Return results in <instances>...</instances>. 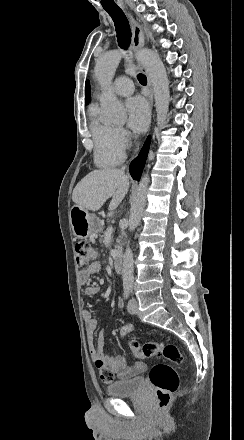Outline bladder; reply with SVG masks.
Masks as SVG:
<instances>
[{
	"instance_id": "bladder-1",
	"label": "bladder",
	"mask_w": 244,
	"mask_h": 440,
	"mask_svg": "<svg viewBox=\"0 0 244 440\" xmlns=\"http://www.w3.org/2000/svg\"><path fill=\"white\" fill-rule=\"evenodd\" d=\"M145 389L144 377L137 376L108 385L107 394L116 396L140 395Z\"/></svg>"
}]
</instances>
